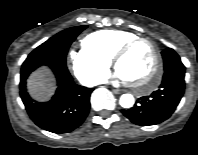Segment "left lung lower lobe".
Instances as JSON below:
<instances>
[{"label":"left lung lower lobe","mask_w":198,"mask_h":155,"mask_svg":"<svg viewBox=\"0 0 198 155\" xmlns=\"http://www.w3.org/2000/svg\"><path fill=\"white\" fill-rule=\"evenodd\" d=\"M185 67H174L163 75L158 90L141 97L133 108L122 113L134 124L149 126L168 119L179 104L185 89Z\"/></svg>","instance_id":"left-lung-lower-lobe-1"}]
</instances>
